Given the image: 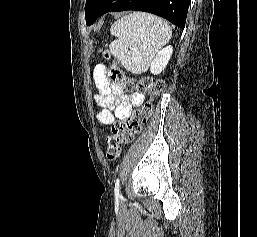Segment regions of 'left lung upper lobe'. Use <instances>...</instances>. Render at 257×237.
Listing matches in <instances>:
<instances>
[{"label":"left lung upper lobe","instance_id":"5c2ea615","mask_svg":"<svg viewBox=\"0 0 257 237\" xmlns=\"http://www.w3.org/2000/svg\"><path fill=\"white\" fill-rule=\"evenodd\" d=\"M107 1L108 0H86V24H88L99 13Z\"/></svg>","mask_w":257,"mask_h":237}]
</instances>
